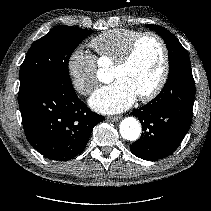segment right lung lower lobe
I'll return each mask as SVG.
<instances>
[{
  "label": "right lung lower lobe",
  "instance_id": "98d812e1",
  "mask_svg": "<svg viewBox=\"0 0 211 211\" xmlns=\"http://www.w3.org/2000/svg\"><path fill=\"white\" fill-rule=\"evenodd\" d=\"M18 101L29 143L50 160L76 157L93 127L104 120L78 98L73 86L52 79L19 88Z\"/></svg>",
  "mask_w": 211,
  "mask_h": 211
}]
</instances>
